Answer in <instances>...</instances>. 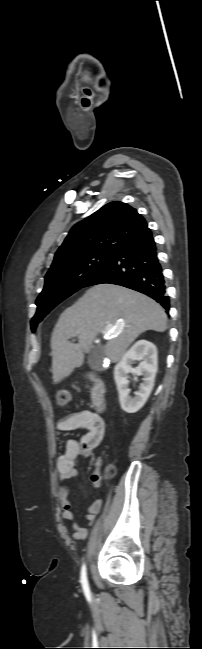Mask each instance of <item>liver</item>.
Here are the masks:
<instances>
[{
    "instance_id": "1",
    "label": "liver",
    "mask_w": 202,
    "mask_h": 649,
    "mask_svg": "<svg viewBox=\"0 0 202 649\" xmlns=\"http://www.w3.org/2000/svg\"><path fill=\"white\" fill-rule=\"evenodd\" d=\"M111 325L113 333L104 346L111 362L119 361L129 345L143 332H164L167 316L150 297L114 284L88 289L59 317L51 337L53 382L58 384L84 362L96 336ZM77 337L78 344L69 341Z\"/></svg>"
}]
</instances>
